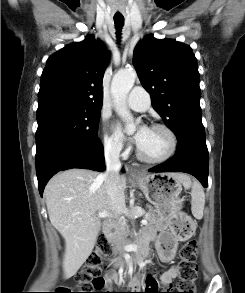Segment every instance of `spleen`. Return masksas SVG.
I'll list each match as a JSON object with an SVG mask.
<instances>
[{"instance_id":"3e777b00","label":"spleen","mask_w":245,"mask_h":293,"mask_svg":"<svg viewBox=\"0 0 245 293\" xmlns=\"http://www.w3.org/2000/svg\"><path fill=\"white\" fill-rule=\"evenodd\" d=\"M204 206L205 194L203 187L199 182L193 181L191 189V211L196 219H201L203 217Z\"/></svg>"}]
</instances>
